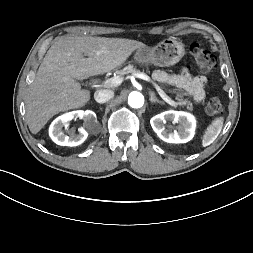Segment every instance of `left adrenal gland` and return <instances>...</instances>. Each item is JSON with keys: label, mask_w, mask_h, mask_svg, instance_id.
Segmentation results:
<instances>
[{"label": "left adrenal gland", "mask_w": 253, "mask_h": 253, "mask_svg": "<svg viewBox=\"0 0 253 253\" xmlns=\"http://www.w3.org/2000/svg\"><path fill=\"white\" fill-rule=\"evenodd\" d=\"M149 95H150V102H151V103L164 104L163 101H160V100L157 99V97L155 96L154 92L149 91Z\"/></svg>", "instance_id": "obj_1"}]
</instances>
